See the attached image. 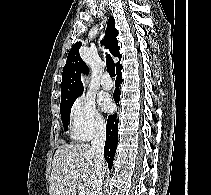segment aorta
<instances>
[{"label": "aorta", "mask_w": 211, "mask_h": 195, "mask_svg": "<svg viewBox=\"0 0 211 195\" xmlns=\"http://www.w3.org/2000/svg\"><path fill=\"white\" fill-rule=\"evenodd\" d=\"M83 81H84V84H86V83H87V81H86L85 77H83Z\"/></svg>", "instance_id": "1"}]
</instances>
